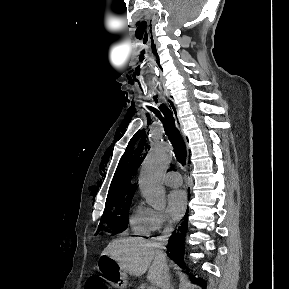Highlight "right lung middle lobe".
<instances>
[{
    "label": "right lung middle lobe",
    "instance_id": "1",
    "mask_svg": "<svg viewBox=\"0 0 289 289\" xmlns=\"http://www.w3.org/2000/svg\"><path fill=\"white\" fill-rule=\"evenodd\" d=\"M131 200L132 198L121 203H106L99 229L102 230V224L106 223L111 229H114L115 233L124 231L128 226V209Z\"/></svg>",
    "mask_w": 289,
    "mask_h": 289
}]
</instances>
